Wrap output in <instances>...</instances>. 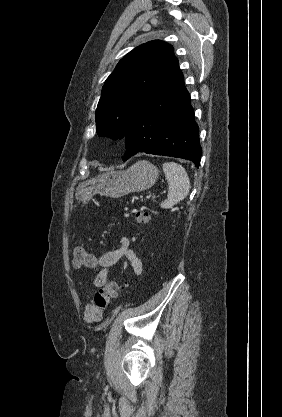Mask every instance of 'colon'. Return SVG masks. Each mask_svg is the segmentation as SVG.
Listing matches in <instances>:
<instances>
[{"instance_id": "obj_1", "label": "colon", "mask_w": 282, "mask_h": 417, "mask_svg": "<svg viewBox=\"0 0 282 417\" xmlns=\"http://www.w3.org/2000/svg\"><path fill=\"white\" fill-rule=\"evenodd\" d=\"M133 217L140 223H146L150 221V216L142 210L134 211ZM94 262V257L91 253L81 247L75 248L74 266L76 268L91 269L94 266ZM124 286H126V282L120 280H110L102 284L100 289L94 294V307L97 310L104 311L110 300L117 296L118 291Z\"/></svg>"}]
</instances>
